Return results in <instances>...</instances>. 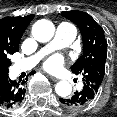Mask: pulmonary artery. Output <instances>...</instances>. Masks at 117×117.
Listing matches in <instances>:
<instances>
[{
	"mask_svg": "<svg viewBox=\"0 0 117 117\" xmlns=\"http://www.w3.org/2000/svg\"><path fill=\"white\" fill-rule=\"evenodd\" d=\"M76 35L77 30L74 25L69 22H61L56 28L52 41L35 55L17 61L15 64V71L21 72L31 69L47 52L70 45L76 38Z\"/></svg>",
	"mask_w": 117,
	"mask_h": 117,
	"instance_id": "pulmonary-artery-1",
	"label": "pulmonary artery"
}]
</instances>
